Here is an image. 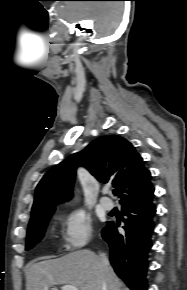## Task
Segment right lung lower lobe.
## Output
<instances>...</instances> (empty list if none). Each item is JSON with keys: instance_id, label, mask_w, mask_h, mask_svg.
<instances>
[{"instance_id": "1", "label": "right lung lower lobe", "mask_w": 187, "mask_h": 290, "mask_svg": "<svg viewBox=\"0 0 187 290\" xmlns=\"http://www.w3.org/2000/svg\"><path fill=\"white\" fill-rule=\"evenodd\" d=\"M152 199L153 196L122 206V213L127 217L123 233L111 221L102 230V237L110 246L111 265L131 290H146L147 287V258L152 247L156 213Z\"/></svg>"}]
</instances>
